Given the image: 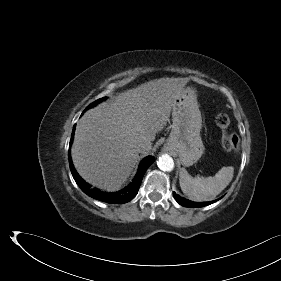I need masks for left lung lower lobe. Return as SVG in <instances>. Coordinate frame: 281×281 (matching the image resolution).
<instances>
[{"instance_id":"1","label":"left lung lower lobe","mask_w":281,"mask_h":281,"mask_svg":"<svg viewBox=\"0 0 281 281\" xmlns=\"http://www.w3.org/2000/svg\"><path fill=\"white\" fill-rule=\"evenodd\" d=\"M174 195V198L176 199V201L182 205V206H185V207H203V206H207V205H210L214 202H216L217 200H214V201H210V202H192L190 200H187L185 198H182L180 197L179 195H177L175 192L173 193Z\"/></svg>"}]
</instances>
